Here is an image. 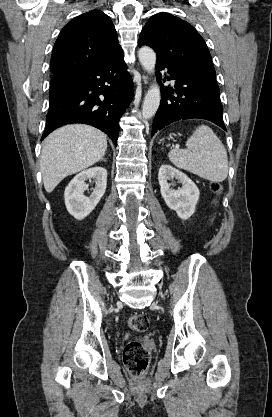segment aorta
<instances>
[{"label": "aorta", "instance_id": "1", "mask_svg": "<svg viewBox=\"0 0 272 417\" xmlns=\"http://www.w3.org/2000/svg\"><path fill=\"white\" fill-rule=\"evenodd\" d=\"M138 57L143 68L153 73L156 65V53L152 48L144 46L139 49ZM160 89L157 84L150 87L147 94L145 95L143 106H142V117L144 119L152 118L159 105H160Z\"/></svg>", "mask_w": 272, "mask_h": 417}]
</instances>
